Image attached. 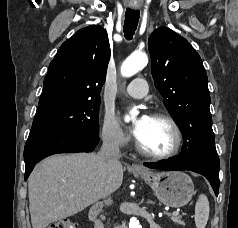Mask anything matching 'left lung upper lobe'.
Segmentation results:
<instances>
[{
    "mask_svg": "<svg viewBox=\"0 0 238 228\" xmlns=\"http://www.w3.org/2000/svg\"><path fill=\"white\" fill-rule=\"evenodd\" d=\"M148 49L155 86L184 139L183 152L176 157L186 163L217 155L208 78L199 54L185 38L167 27L153 31Z\"/></svg>",
    "mask_w": 238,
    "mask_h": 228,
    "instance_id": "left-lung-upper-lobe-1",
    "label": "left lung upper lobe"
}]
</instances>
